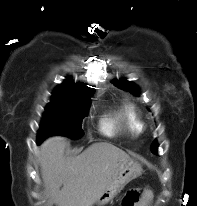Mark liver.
Listing matches in <instances>:
<instances>
[{"mask_svg": "<svg viewBox=\"0 0 197 206\" xmlns=\"http://www.w3.org/2000/svg\"><path fill=\"white\" fill-rule=\"evenodd\" d=\"M65 146L66 140L60 136L48 138L40 146L41 176L47 198L57 206H92L120 161L129 156L118 147L101 142L76 157L66 158Z\"/></svg>", "mask_w": 197, "mask_h": 206, "instance_id": "6515ba94", "label": "liver"}]
</instances>
